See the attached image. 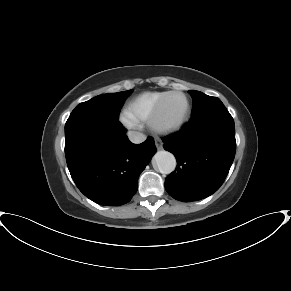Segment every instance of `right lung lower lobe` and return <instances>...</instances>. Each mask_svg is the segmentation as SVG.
Segmentation results:
<instances>
[{
	"mask_svg": "<svg viewBox=\"0 0 291 291\" xmlns=\"http://www.w3.org/2000/svg\"><path fill=\"white\" fill-rule=\"evenodd\" d=\"M156 152L148 137L133 144L118 119L70 115L65 124V155L78 189L100 205L120 206L138 189L140 173Z\"/></svg>",
	"mask_w": 291,
	"mask_h": 291,
	"instance_id": "98d812e1",
	"label": "right lung lower lobe"
}]
</instances>
